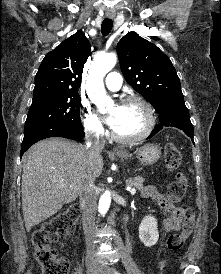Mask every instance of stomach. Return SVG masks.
<instances>
[{
	"instance_id": "stomach-1",
	"label": "stomach",
	"mask_w": 221,
	"mask_h": 274,
	"mask_svg": "<svg viewBox=\"0 0 221 274\" xmlns=\"http://www.w3.org/2000/svg\"><path fill=\"white\" fill-rule=\"evenodd\" d=\"M136 158L142 165H152L156 163L161 156V148L155 144H146L140 148H138L135 152ZM121 159H131L133 157L132 154H128L127 152L117 153Z\"/></svg>"
}]
</instances>
